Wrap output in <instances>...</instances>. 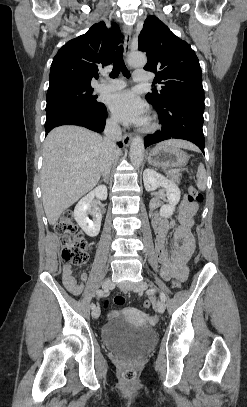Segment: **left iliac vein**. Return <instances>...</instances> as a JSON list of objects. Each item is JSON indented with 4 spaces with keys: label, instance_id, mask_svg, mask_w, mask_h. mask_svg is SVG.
<instances>
[{
    "label": "left iliac vein",
    "instance_id": "4c4485c4",
    "mask_svg": "<svg viewBox=\"0 0 247 407\" xmlns=\"http://www.w3.org/2000/svg\"><path fill=\"white\" fill-rule=\"evenodd\" d=\"M148 288V284L145 281H141L138 283L133 290L138 293H142ZM157 311L159 313H163L165 311V304L162 300H159L156 304Z\"/></svg>",
    "mask_w": 247,
    "mask_h": 407
}]
</instances>
